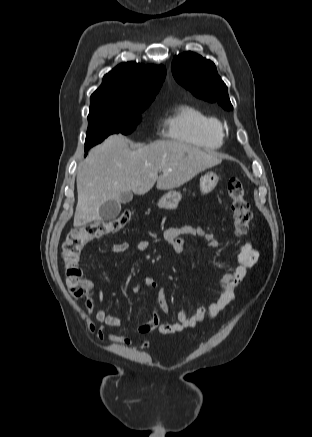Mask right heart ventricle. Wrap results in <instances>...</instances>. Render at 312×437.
Here are the masks:
<instances>
[{"instance_id": "right-heart-ventricle-1", "label": "right heart ventricle", "mask_w": 312, "mask_h": 437, "mask_svg": "<svg viewBox=\"0 0 312 437\" xmlns=\"http://www.w3.org/2000/svg\"><path fill=\"white\" fill-rule=\"evenodd\" d=\"M163 127L170 139L204 148L220 147L225 136L218 118L189 105L177 107L164 119Z\"/></svg>"}]
</instances>
